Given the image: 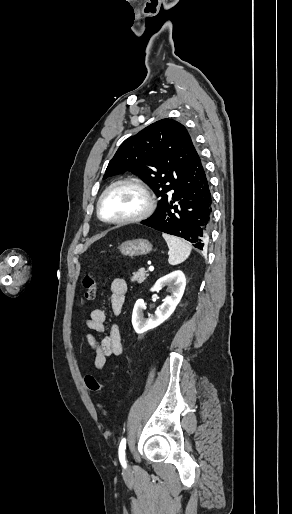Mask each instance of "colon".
I'll use <instances>...</instances> for the list:
<instances>
[{
    "label": "colon",
    "instance_id": "5ec220e1",
    "mask_svg": "<svg viewBox=\"0 0 292 514\" xmlns=\"http://www.w3.org/2000/svg\"><path fill=\"white\" fill-rule=\"evenodd\" d=\"M83 296H82V302L88 303L91 302L95 296H96V283L92 275L88 274L84 278L83 282ZM85 383L89 388H92L96 391H100L102 389V386L96 381L93 373H86L85 374ZM101 410L104 411V408L102 406H99ZM105 412V411H104Z\"/></svg>",
    "mask_w": 292,
    "mask_h": 514
}]
</instances>
